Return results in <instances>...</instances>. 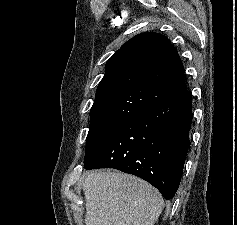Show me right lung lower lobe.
Segmentation results:
<instances>
[{
	"mask_svg": "<svg viewBox=\"0 0 237 225\" xmlns=\"http://www.w3.org/2000/svg\"><path fill=\"white\" fill-rule=\"evenodd\" d=\"M191 123V92L184 91L141 111L112 132L84 158V167L133 174L169 200L181 181Z\"/></svg>",
	"mask_w": 237,
	"mask_h": 225,
	"instance_id": "right-lung-lower-lobe-1",
	"label": "right lung lower lobe"
}]
</instances>
